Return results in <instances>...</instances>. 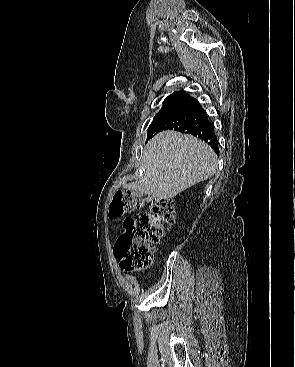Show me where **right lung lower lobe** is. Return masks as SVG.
Returning a JSON list of instances; mask_svg holds the SVG:
<instances>
[{"label":"right lung lower lobe","mask_w":295,"mask_h":367,"mask_svg":"<svg viewBox=\"0 0 295 367\" xmlns=\"http://www.w3.org/2000/svg\"><path fill=\"white\" fill-rule=\"evenodd\" d=\"M168 129L191 134L202 139L219 155V143L214 133V127L209 122L206 112L195 98L189 97L158 126L157 130L149 138Z\"/></svg>","instance_id":"98d812e1"}]
</instances>
